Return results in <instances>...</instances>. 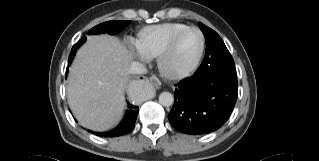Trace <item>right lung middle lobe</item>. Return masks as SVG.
<instances>
[{
  "mask_svg": "<svg viewBox=\"0 0 319 161\" xmlns=\"http://www.w3.org/2000/svg\"><path fill=\"white\" fill-rule=\"evenodd\" d=\"M130 23L131 21H108L93 27L88 33L89 34L108 33V34L114 35L122 31ZM85 40L86 38L82 37V39L72 47V51L68 59L69 65L71 64L75 56L76 50L80 47V45H82L85 42Z\"/></svg>",
  "mask_w": 319,
  "mask_h": 161,
  "instance_id": "right-lung-middle-lobe-1",
  "label": "right lung middle lobe"
}]
</instances>
